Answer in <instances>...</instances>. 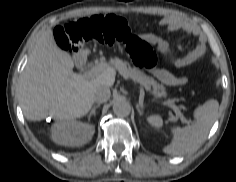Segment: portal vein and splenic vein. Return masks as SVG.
I'll list each match as a JSON object with an SVG mask.
<instances>
[{
	"label": "portal vein and splenic vein",
	"instance_id": "obj_1",
	"mask_svg": "<svg viewBox=\"0 0 236 182\" xmlns=\"http://www.w3.org/2000/svg\"><path fill=\"white\" fill-rule=\"evenodd\" d=\"M106 67L104 65H95L93 67H91L89 70L85 71L83 76L86 78H94L96 77L98 74H100L101 72L105 71ZM162 105H166L171 107L174 112L176 113V115L182 120L185 121V117L183 116V114L180 112L179 108L172 102L168 101V102H162Z\"/></svg>",
	"mask_w": 236,
	"mask_h": 182
}]
</instances>
